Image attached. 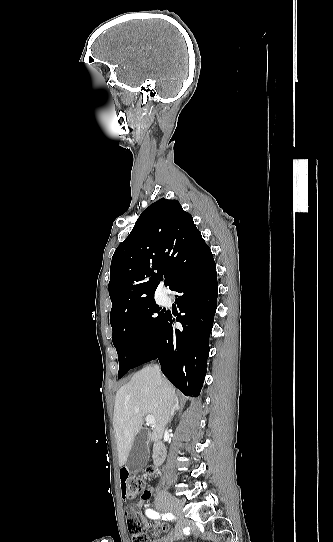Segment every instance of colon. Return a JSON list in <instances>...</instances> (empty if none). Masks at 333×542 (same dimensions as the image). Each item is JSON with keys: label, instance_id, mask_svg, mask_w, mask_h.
Here are the masks:
<instances>
[{"label": "colon", "instance_id": "5ec220e1", "mask_svg": "<svg viewBox=\"0 0 333 542\" xmlns=\"http://www.w3.org/2000/svg\"><path fill=\"white\" fill-rule=\"evenodd\" d=\"M155 473L154 466H148L145 469V476L150 478ZM129 487L127 489V495L124 498H145L146 496V484L144 478L140 475L130 474L129 475ZM125 511L130 514V519L135 521L138 519V504L136 502H127L125 504ZM129 530L133 535V542H148V536L142 531V528L138 522H131L129 525Z\"/></svg>", "mask_w": 333, "mask_h": 542}]
</instances>
